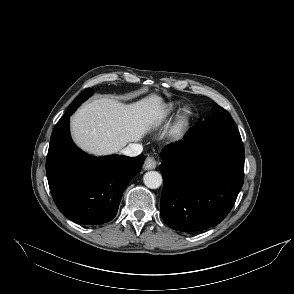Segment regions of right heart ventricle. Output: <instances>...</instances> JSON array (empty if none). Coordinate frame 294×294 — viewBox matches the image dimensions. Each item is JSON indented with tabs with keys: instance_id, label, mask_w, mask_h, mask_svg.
I'll return each instance as SVG.
<instances>
[{
	"instance_id": "e07e8e85",
	"label": "right heart ventricle",
	"mask_w": 294,
	"mask_h": 294,
	"mask_svg": "<svg viewBox=\"0 0 294 294\" xmlns=\"http://www.w3.org/2000/svg\"><path fill=\"white\" fill-rule=\"evenodd\" d=\"M175 109V105L173 103H168L164 105L160 112L154 118V123L159 124L162 122L168 115H170Z\"/></svg>"
}]
</instances>
